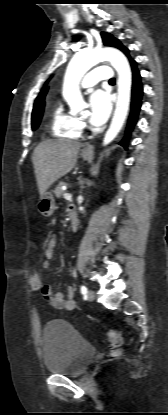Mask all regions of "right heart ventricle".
Wrapping results in <instances>:
<instances>
[{
    "mask_svg": "<svg viewBox=\"0 0 168 415\" xmlns=\"http://www.w3.org/2000/svg\"><path fill=\"white\" fill-rule=\"evenodd\" d=\"M50 129L51 134L58 138L78 139L82 134L80 121L62 104L57 105L52 113Z\"/></svg>",
    "mask_w": 168,
    "mask_h": 415,
    "instance_id": "right-heart-ventricle-1",
    "label": "right heart ventricle"
}]
</instances>
